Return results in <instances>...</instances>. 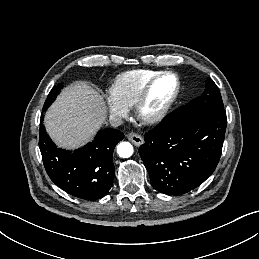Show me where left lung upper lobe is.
I'll use <instances>...</instances> for the list:
<instances>
[{"label": "left lung upper lobe", "mask_w": 259, "mask_h": 259, "mask_svg": "<svg viewBox=\"0 0 259 259\" xmlns=\"http://www.w3.org/2000/svg\"><path fill=\"white\" fill-rule=\"evenodd\" d=\"M196 108H215V109H224V104L221 98L219 88L214 83L213 80L208 78L207 85L204 93L190 101L188 104L176 109L171 114H169L165 119H169L179 113L186 112L191 109Z\"/></svg>", "instance_id": "5c2ea615"}]
</instances>
